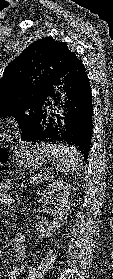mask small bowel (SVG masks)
Segmentation results:
<instances>
[{
	"instance_id": "1",
	"label": "small bowel",
	"mask_w": 113,
	"mask_h": 279,
	"mask_svg": "<svg viewBox=\"0 0 113 279\" xmlns=\"http://www.w3.org/2000/svg\"><path fill=\"white\" fill-rule=\"evenodd\" d=\"M11 189L10 183H5L0 187V206L6 204H14L15 201L8 197L6 190ZM25 244L26 238L22 233H16L13 237V247L20 260L25 259ZM25 272V268L22 266L14 267L5 276V279H18L20 275Z\"/></svg>"
}]
</instances>
